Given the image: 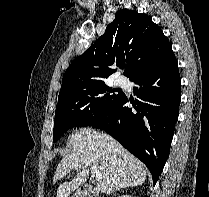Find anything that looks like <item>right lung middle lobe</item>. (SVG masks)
Masks as SVG:
<instances>
[{
  "mask_svg": "<svg viewBox=\"0 0 209 197\" xmlns=\"http://www.w3.org/2000/svg\"><path fill=\"white\" fill-rule=\"evenodd\" d=\"M107 86L105 81L81 83L60 90L55 110L53 142L72 127H84L120 99L124 93Z\"/></svg>",
  "mask_w": 209,
  "mask_h": 197,
  "instance_id": "dd1d6c3e",
  "label": "right lung middle lobe"
}]
</instances>
